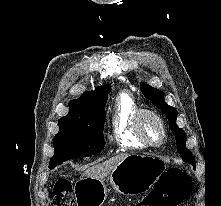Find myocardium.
Listing matches in <instances>:
<instances>
[{"label":"myocardium","instance_id":"myocardium-1","mask_svg":"<svg viewBox=\"0 0 221 206\" xmlns=\"http://www.w3.org/2000/svg\"><path fill=\"white\" fill-rule=\"evenodd\" d=\"M144 118H152L158 123L161 129V139L158 143L151 142L146 136V133L143 127ZM134 126H135V132L137 136L146 146L158 148V147H161L165 143L166 137H167V129H166V126L162 117L155 111L151 109H147V108H139L137 112L135 113Z\"/></svg>","mask_w":221,"mask_h":206}]
</instances>
